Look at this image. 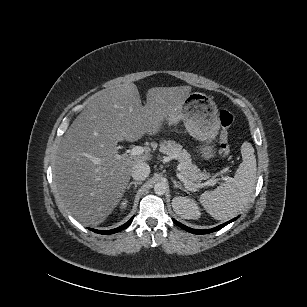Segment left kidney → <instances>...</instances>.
Segmentation results:
<instances>
[{"label":"left kidney","mask_w":307,"mask_h":307,"mask_svg":"<svg viewBox=\"0 0 307 307\" xmlns=\"http://www.w3.org/2000/svg\"><path fill=\"white\" fill-rule=\"evenodd\" d=\"M172 207L177 215L183 219H199L203 216L200 204L195 197L175 195L172 199Z\"/></svg>","instance_id":"obj_1"}]
</instances>
